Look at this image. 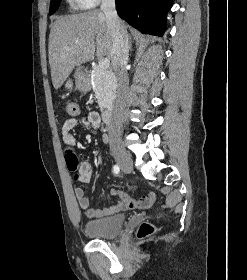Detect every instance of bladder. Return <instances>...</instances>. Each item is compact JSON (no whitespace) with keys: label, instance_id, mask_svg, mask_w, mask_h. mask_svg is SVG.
Masks as SVG:
<instances>
[{"label":"bladder","instance_id":"bladder-1","mask_svg":"<svg viewBox=\"0 0 247 280\" xmlns=\"http://www.w3.org/2000/svg\"><path fill=\"white\" fill-rule=\"evenodd\" d=\"M125 223L124 215L109 216L86 222L84 232L90 238L111 239L122 232Z\"/></svg>","mask_w":247,"mask_h":280}]
</instances>
